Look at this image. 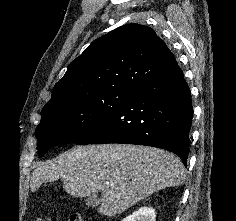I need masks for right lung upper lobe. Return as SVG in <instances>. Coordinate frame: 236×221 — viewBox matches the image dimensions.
Segmentation results:
<instances>
[{"mask_svg": "<svg viewBox=\"0 0 236 221\" xmlns=\"http://www.w3.org/2000/svg\"><path fill=\"white\" fill-rule=\"evenodd\" d=\"M175 63L173 53L150 27L120 26L94 40L70 63L44 107L97 92L136 90Z\"/></svg>", "mask_w": 236, "mask_h": 221, "instance_id": "1", "label": "right lung upper lobe"}]
</instances>
